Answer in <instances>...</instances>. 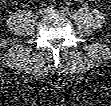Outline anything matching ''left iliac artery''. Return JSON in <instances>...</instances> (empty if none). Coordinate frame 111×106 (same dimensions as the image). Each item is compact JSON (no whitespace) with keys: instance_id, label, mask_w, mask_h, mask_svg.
<instances>
[{"instance_id":"obj_1","label":"left iliac artery","mask_w":111,"mask_h":106,"mask_svg":"<svg viewBox=\"0 0 111 106\" xmlns=\"http://www.w3.org/2000/svg\"><path fill=\"white\" fill-rule=\"evenodd\" d=\"M62 8V11L64 12V13H68L69 12V8L68 7H61Z\"/></svg>"}]
</instances>
